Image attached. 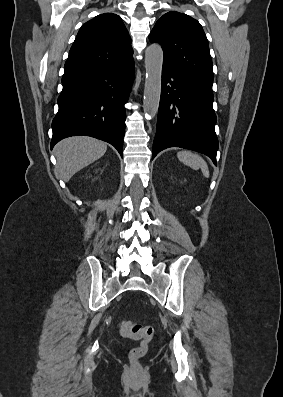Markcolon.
Instances as JSON below:
<instances>
[{"mask_svg": "<svg viewBox=\"0 0 283 397\" xmlns=\"http://www.w3.org/2000/svg\"><path fill=\"white\" fill-rule=\"evenodd\" d=\"M118 329L122 336L141 341L140 346L131 350L130 354L132 358H141L147 353L148 343L154 334L152 327L142 326L131 320H121L118 323Z\"/></svg>", "mask_w": 283, "mask_h": 397, "instance_id": "colon-1", "label": "colon"}]
</instances>
